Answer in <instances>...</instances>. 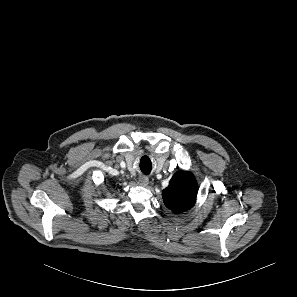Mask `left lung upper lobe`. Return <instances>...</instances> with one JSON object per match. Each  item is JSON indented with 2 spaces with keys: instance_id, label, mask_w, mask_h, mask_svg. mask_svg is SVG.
<instances>
[{
  "instance_id": "1",
  "label": "left lung upper lobe",
  "mask_w": 297,
  "mask_h": 297,
  "mask_svg": "<svg viewBox=\"0 0 297 297\" xmlns=\"http://www.w3.org/2000/svg\"><path fill=\"white\" fill-rule=\"evenodd\" d=\"M197 183L190 172L180 171L170 180L169 186L162 191L165 205L175 213L190 209L196 200Z\"/></svg>"
}]
</instances>
